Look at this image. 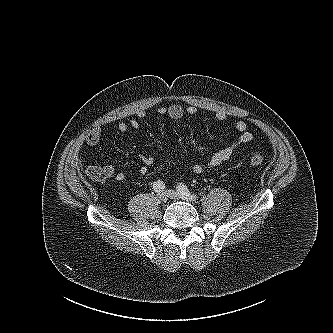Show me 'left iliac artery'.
I'll return each instance as SVG.
<instances>
[{
	"mask_svg": "<svg viewBox=\"0 0 333 333\" xmlns=\"http://www.w3.org/2000/svg\"><path fill=\"white\" fill-rule=\"evenodd\" d=\"M177 191L185 198H188L190 200H196L197 199V195L196 194H192L189 189L187 188L186 185L180 183L177 186Z\"/></svg>",
	"mask_w": 333,
	"mask_h": 333,
	"instance_id": "44dca946",
	"label": "left iliac artery"
}]
</instances>
